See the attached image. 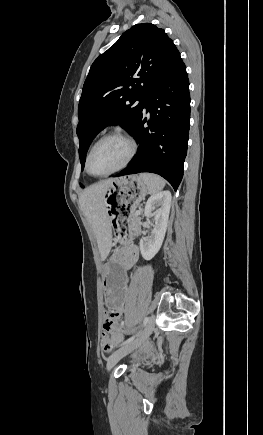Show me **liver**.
Instances as JSON below:
<instances>
[{
    "label": "liver",
    "mask_w": 263,
    "mask_h": 435,
    "mask_svg": "<svg viewBox=\"0 0 263 435\" xmlns=\"http://www.w3.org/2000/svg\"><path fill=\"white\" fill-rule=\"evenodd\" d=\"M117 179H107L93 184L79 197L80 207L96 236L102 261L109 255L112 246V228L104 206V195Z\"/></svg>",
    "instance_id": "6515ba94"
}]
</instances>
